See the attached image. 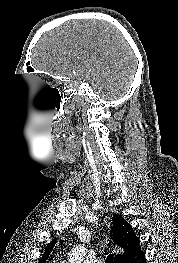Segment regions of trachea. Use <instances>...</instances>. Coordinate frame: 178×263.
I'll return each mask as SVG.
<instances>
[{
	"label": "trachea",
	"instance_id": "1",
	"mask_svg": "<svg viewBox=\"0 0 178 263\" xmlns=\"http://www.w3.org/2000/svg\"><path fill=\"white\" fill-rule=\"evenodd\" d=\"M113 254H109L105 260V263H113Z\"/></svg>",
	"mask_w": 178,
	"mask_h": 263
}]
</instances>
